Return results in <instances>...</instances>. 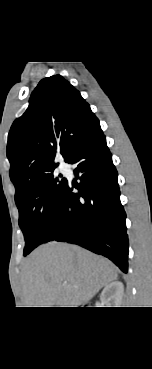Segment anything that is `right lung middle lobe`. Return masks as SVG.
<instances>
[{
    "label": "right lung middle lobe",
    "mask_w": 152,
    "mask_h": 369,
    "mask_svg": "<svg viewBox=\"0 0 152 369\" xmlns=\"http://www.w3.org/2000/svg\"><path fill=\"white\" fill-rule=\"evenodd\" d=\"M55 168V167H54ZM54 168L36 178L15 197L19 210V226L24 234V256L44 243L50 235L66 179L53 174Z\"/></svg>",
    "instance_id": "dd1d6c3e"
}]
</instances>
